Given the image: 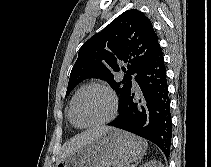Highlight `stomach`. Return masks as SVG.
Returning <instances> with one entry per match:
<instances>
[{"label": "stomach", "instance_id": "obj_1", "mask_svg": "<svg viewBox=\"0 0 211 167\" xmlns=\"http://www.w3.org/2000/svg\"><path fill=\"white\" fill-rule=\"evenodd\" d=\"M146 147L142 138L112 128L55 167H128L130 163L141 160Z\"/></svg>", "mask_w": 211, "mask_h": 167}]
</instances>
